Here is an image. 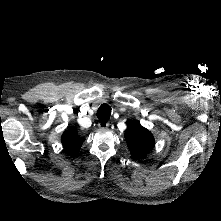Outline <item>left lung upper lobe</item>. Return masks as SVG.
<instances>
[{
    "mask_svg": "<svg viewBox=\"0 0 221 221\" xmlns=\"http://www.w3.org/2000/svg\"><path fill=\"white\" fill-rule=\"evenodd\" d=\"M125 140L131 155L136 159L146 156L154 147L152 133L135 122L128 126L125 132Z\"/></svg>",
    "mask_w": 221,
    "mask_h": 221,
    "instance_id": "left-lung-upper-lobe-1",
    "label": "left lung upper lobe"
}]
</instances>
